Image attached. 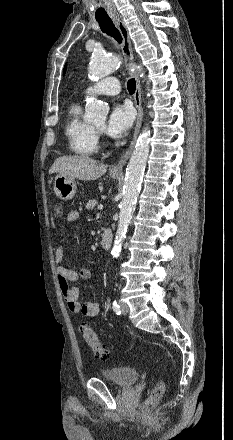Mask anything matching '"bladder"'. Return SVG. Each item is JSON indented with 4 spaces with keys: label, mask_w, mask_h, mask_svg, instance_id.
Listing matches in <instances>:
<instances>
[{
    "label": "bladder",
    "mask_w": 233,
    "mask_h": 440,
    "mask_svg": "<svg viewBox=\"0 0 233 440\" xmlns=\"http://www.w3.org/2000/svg\"><path fill=\"white\" fill-rule=\"evenodd\" d=\"M100 377L116 386L130 387L139 379L140 372L132 367H114L102 371Z\"/></svg>",
    "instance_id": "1"
}]
</instances>
